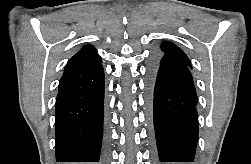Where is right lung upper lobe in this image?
Listing matches in <instances>:
<instances>
[{
  "label": "right lung upper lobe",
  "instance_id": "right-lung-upper-lobe-1",
  "mask_svg": "<svg viewBox=\"0 0 251 164\" xmlns=\"http://www.w3.org/2000/svg\"><path fill=\"white\" fill-rule=\"evenodd\" d=\"M100 63L101 57L98 55L97 50L90 45H86L68 61L64 74Z\"/></svg>",
  "mask_w": 251,
  "mask_h": 164
}]
</instances>
